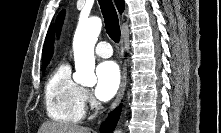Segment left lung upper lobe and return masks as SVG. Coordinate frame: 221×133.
<instances>
[{"label": "left lung upper lobe", "mask_w": 221, "mask_h": 133, "mask_svg": "<svg viewBox=\"0 0 221 133\" xmlns=\"http://www.w3.org/2000/svg\"><path fill=\"white\" fill-rule=\"evenodd\" d=\"M64 14H65V11H62V12L58 15V17H57V23H58V28H59V30L61 29V25H62V22H63Z\"/></svg>", "instance_id": "1"}]
</instances>
